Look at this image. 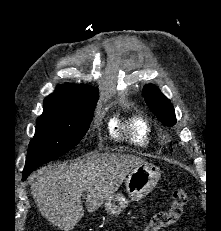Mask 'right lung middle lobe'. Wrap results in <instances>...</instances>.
Segmentation results:
<instances>
[{
  "label": "right lung middle lobe",
  "mask_w": 221,
  "mask_h": 231,
  "mask_svg": "<svg viewBox=\"0 0 221 231\" xmlns=\"http://www.w3.org/2000/svg\"><path fill=\"white\" fill-rule=\"evenodd\" d=\"M95 104L76 111L46 112L37 119L24 169L52 161L74 148L86 134Z\"/></svg>",
  "instance_id": "right-lung-middle-lobe-1"
}]
</instances>
